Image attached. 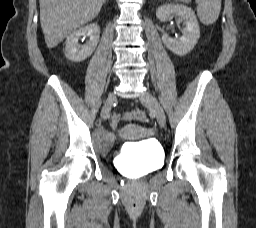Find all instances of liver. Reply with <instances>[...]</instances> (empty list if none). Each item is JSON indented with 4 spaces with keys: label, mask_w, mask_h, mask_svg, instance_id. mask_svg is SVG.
<instances>
[{
    "label": "liver",
    "mask_w": 256,
    "mask_h": 228,
    "mask_svg": "<svg viewBox=\"0 0 256 228\" xmlns=\"http://www.w3.org/2000/svg\"><path fill=\"white\" fill-rule=\"evenodd\" d=\"M40 23L49 49L100 12L104 0H39Z\"/></svg>",
    "instance_id": "1"
}]
</instances>
